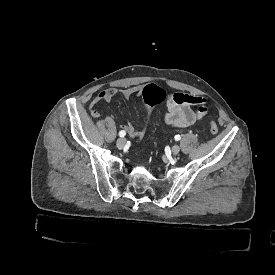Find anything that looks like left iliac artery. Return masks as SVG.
Listing matches in <instances>:
<instances>
[{"instance_id": "44dca946", "label": "left iliac artery", "mask_w": 275, "mask_h": 275, "mask_svg": "<svg viewBox=\"0 0 275 275\" xmlns=\"http://www.w3.org/2000/svg\"><path fill=\"white\" fill-rule=\"evenodd\" d=\"M174 139H175L176 141H179V140L181 139V136H180V135H176V136L174 137Z\"/></svg>"}]
</instances>
